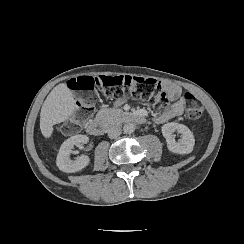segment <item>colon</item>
I'll list each match as a JSON object with an SVG mask.
<instances>
[{"label":"colon","instance_id":"obj_1","mask_svg":"<svg viewBox=\"0 0 244 244\" xmlns=\"http://www.w3.org/2000/svg\"><path fill=\"white\" fill-rule=\"evenodd\" d=\"M70 88L81 93L80 102L85 106L93 107L98 99L95 90H103V95L111 99H121L130 95L134 99L151 100L159 107L168 104L167 93L153 78L132 75L99 76L87 73L78 79H71ZM186 117L191 120H199L202 117L203 107L200 100L192 93H185ZM90 113L85 108L76 110L74 119H70L64 126L66 134H75L80 129V123L89 120Z\"/></svg>","mask_w":244,"mask_h":244}]
</instances>
